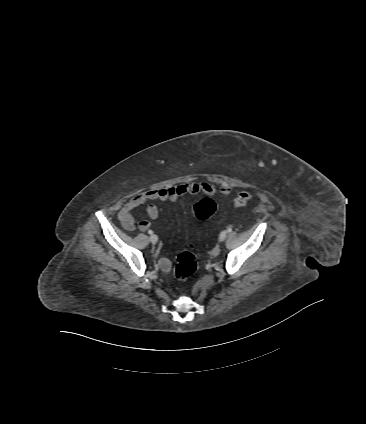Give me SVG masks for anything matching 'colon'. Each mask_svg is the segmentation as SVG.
<instances>
[{
	"mask_svg": "<svg viewBox=\"0 0 366 424\" xmlns=\"http://www.w3.org/2000/svg\"><path fill=\"white\" fill-rule=\"evenodd\" d=\"M251 198V194L243 190L234 200V207L245 206ZM216 210L215 202L210 198H205L196 203L192 208L193 215L201 220L207 219L214 214ZM193 246H186L177 256L175 265V276L179 281H186L197 270L196 258L193 253Z\"/></svg>",
	"mask_w": 366,
	"mask_h": 424,
	"instance_id": "obj_1",
	"label": "colon"
}]
</instances>
